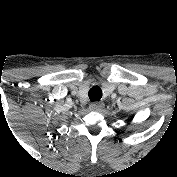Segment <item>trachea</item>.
<instances>
[{"label": "trachea", "mask_w": 177, "mask_h": 177, "mask_svg": "<svg viewBox=\"0 0 177 177\" xmlns=\"http://www.w3.org/2000/svg\"><path fill=\"white\" fill-rule=\"evenodd\" d=\"M88 96L90 98V100L92 102L94 101H99L102 97V90L99 86L95 85L93 86L89 92H88Z\"/></svg>", "instance_id": "obj_1"}]
</instances>
